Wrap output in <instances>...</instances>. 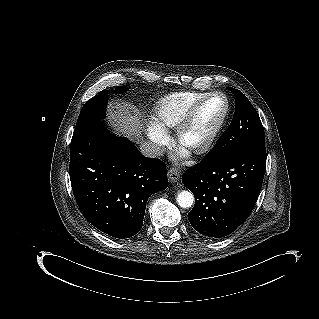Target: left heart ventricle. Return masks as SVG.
<instances>
[{
	"mask_svg": "<svg viewBox=\"0 0 319 319\" xmlns=\"http://www.w3.org/2000/svg\"><path fill=\"white\" fill-rule=\"evenodd\" d=\"M224 102L218 97L207 101L197 112L193 122L186 129L183 141L186 145L195 146L201 143L219 120Z\"/></svg>",
	"mask_w": 319,
	"mask_h": 319,
	"instance_id": "left-heart-ventricle-1",
	"label": "left heart ventricle"
}]
</instances>
